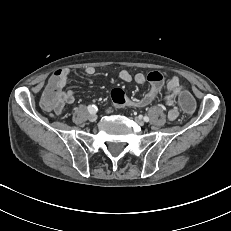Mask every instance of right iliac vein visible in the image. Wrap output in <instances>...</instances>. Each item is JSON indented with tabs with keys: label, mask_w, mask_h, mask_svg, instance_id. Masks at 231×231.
Wrapping results in <instances>:
<instances>
[{
	"label": "right iliac vein",
	"mask_w": 231,
	"mask_h": 231,
	"mask_svg": "<svg viewBox=\"0 0 231 231\" xmlns=\"http://www.w3.org/2000/svg\"><path fill=\"white\" fill-rule=\"evenodd\" d=\"M88 119H89V121H91V122H95V121L97 120V115H96V114H93V113H90V114L88 115Z\"/></svg>",
	"instance_id": "obj_1"
}]
</instances>
